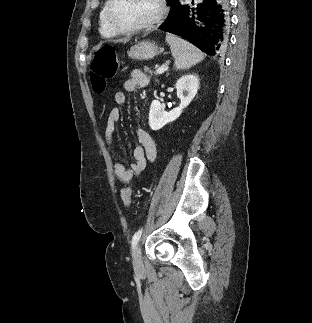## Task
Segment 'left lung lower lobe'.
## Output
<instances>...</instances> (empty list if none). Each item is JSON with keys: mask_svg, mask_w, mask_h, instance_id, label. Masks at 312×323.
I'll list each match as a JSON object with an SVG mask.
<instances>
[{"mask_svg": "<svg viewBox=\"0 0 312 323\" xmlns=\"http://www.w3.org/2000/svg\"><path fill=\"white\" fill-rule=\"evenodd\" d=\"M180 3L174 16L160 29L180 36L210 56L223 55L229 46V3L227 0H202Z\"/></svg>", "mask_w": 312, "mask_h": 323, "instance_id": "0a47b994", "label": "left lung lower lobe"}]
</instances>
